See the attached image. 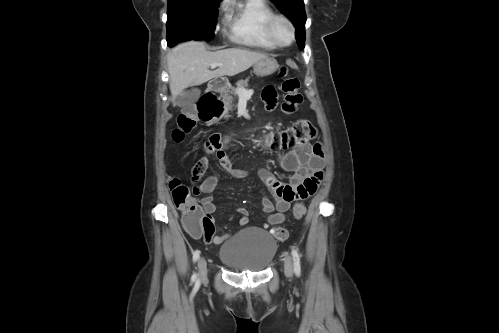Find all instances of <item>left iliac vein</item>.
Wrapping results in <instances>:
<instances>
[{"mask_svg": "<svg viewBox=\"0 0 499 333\" xmlns=\"http://www.w3.org/2000/svg\"><path fill=\"white\" fill-rule=\"evenodd\" d=\"M284 270L288 277L293 276V262L291 256H287L284 260Z\"/></svg>", "mask_w": 499, "mask_h": 333, "instance_id": "obj_1", "label": "left iliac vein"}]
</instances>
